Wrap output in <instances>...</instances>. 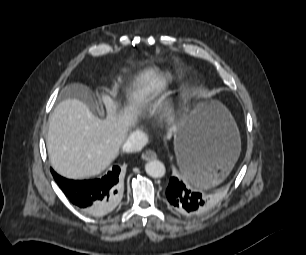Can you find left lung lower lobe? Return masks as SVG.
Here are the masks:
<instances>
[{"label": "left lung lower lobe", "mask_w": 306, "mask_h": 255, "mask_svg": "<svg viewBox=\"0 0 306 255\" xmlns=\"http://www.w3.org/2000/svg\"><path fill=\"white\" fill-rule=\"evenodd\" d=\"M181 171L185 180L204 179L211 174V166L195 153L187 151L183 156ZM166 197L172 209L186 216L204 212L212 202L209 196L192 191L181 178L177 177H171Z\"/></svg>", "instance_id": "obj_1"}]
</instances>
